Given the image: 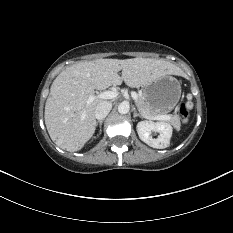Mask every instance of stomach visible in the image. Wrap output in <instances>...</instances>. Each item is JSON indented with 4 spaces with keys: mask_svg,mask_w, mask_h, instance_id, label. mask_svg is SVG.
Instances as JSON below:
<instances>
[{
    "mask_svg": "<svg viewBox=\"0 0 233 233\" xmlns=\"http://www.w3.org/2000/svg\"><path fill=\"white\" fill-rule=\"evenodd\" d=\"M143 96L151 109L166 114L179 102L181 86L176 78L163 76L145 85Z\"/></svg>",
    "mask_w": 233,
    "mask_h": 233,
    "instance_id": "obj_1",
    "label": "stomach"
}]
</instances>
